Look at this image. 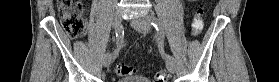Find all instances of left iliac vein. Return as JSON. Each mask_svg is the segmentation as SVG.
I'll list each match as a JSON object with an SVG mask.
<instances>
[{
    "instance_id": "4c4485c4",
    "label": "left iliac vein",
    "mask_w": 279,
    "mask_h": 82,
    "mask_svg": "<svg viewBox=\"0 0 279 82\" xmlns=\"http://www.w3.org/2000/svg\"><path fill=\"white\" fill-rule=\"evenodd\" d=\"M131 25L134 29H136L138 32L146 34L150 31L151 25L147 21V18H135L131 20ZM166 67L170 73H176V64L174 61H167Z\"/></svg>"
}]
</instances>
